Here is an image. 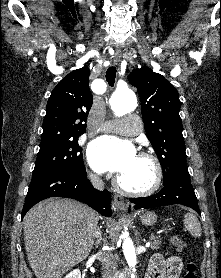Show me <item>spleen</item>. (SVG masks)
Segmentation results:
<instances>
[{
  "label": "spleen",
  "mask_w": 221,
  "mask_h": 278,
  "mask_svg": "<svg viewBox=\"0 0 221 278\" xmlns=\"http://www.w3.org/2000/svg\"><path fill=\"white\" fill-rule=\"evenodd\" d=\"M184 225L185 228L189 231V233L197 238L202 234V229L199 220L197 217L191 213H187L184 215Z\"/></svg>",
  "instance_id": "spleen-1"
}]
</instances>
